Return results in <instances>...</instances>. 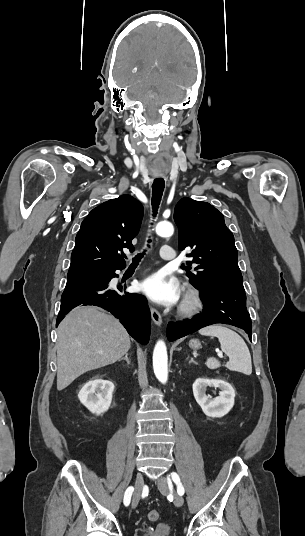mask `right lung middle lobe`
I'll list each match as a JSON object with an SVG mask.
<instances>
[{"mask_svg": "<svg viewBox=\"0 0 305 536\" xmlns=\"http://www.w3.org/2000/svg\"><path fill=\"white\" fill-rule=\"evenodd\" d=\"M115 271L100 272L86 276L69 278L67 281L73 280H95V281H107L114 275Z\"/></svg>", "mask_w": 305, "mask_h": 536, "instance_id": "right-lung-middle-lobe-1", "label": "right lung middle lobe"}]
</instances>
